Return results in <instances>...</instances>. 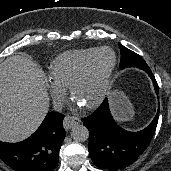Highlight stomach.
I'll use <instances>...</instances> for the list:
<instances>
[{"label": "stomach", "instance_id": "1", "mask_svg": "<svg viewBox=\"0 0 171 171\" xmlns=\"http://www.w3.org/2000/svg\"><path fill=\"white\" fill-rule=\"evenodd\" d=\"M109 99L116 120L123 122L133 117V106L123 92L118 90L111 91L109 93Z\"/></svg>", "mask_w": 171, "mask_h": 171}]
</instances>
